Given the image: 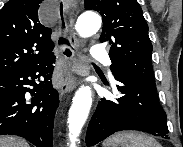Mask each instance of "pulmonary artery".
Here are the masks:
<instances>
[{
    "mask_svg": "<svg viewBox=\"0 0 183 147\" xmlns=\"http://www.w3.org/2000/svg\"><path fill=\"white\" fill-rule=\"evenodd\" d=\"M90 55L94 59L104 60L107 57L106 51L104 48L98 44L94 45L90 50ZM107 67L110 66V61L105 60Z\"/></svg>",
    "mask_w": 183,
    "mask_h": 147,
    "instance_id": "e3ab8cb5",
    "label": "pulmonary artery"
}]
</instances>
